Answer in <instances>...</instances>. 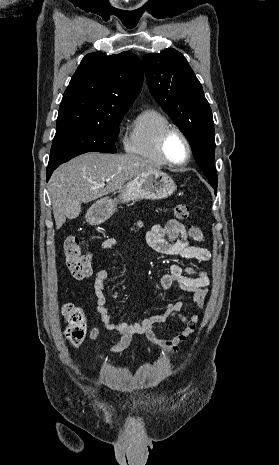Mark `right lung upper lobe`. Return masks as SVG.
<instances>
[{
    "instance_id": "cb5924a9",
    "label": "right lung upper lobe",
    "mask_w": 279,
    "mask_h": 465,
    "mask_svg": "<svg viewBox=\"0 0 279 465\" xmlns=\"http://www.w3.org/2000/svg\"><path fill=\"white\" fill-rule=\"evenodd\" d=\"M143 77L141 61L133 53L86 55L64 93L56 126L99 122L113 110L129 109Z\"/></svg>"
}]
</instances>
